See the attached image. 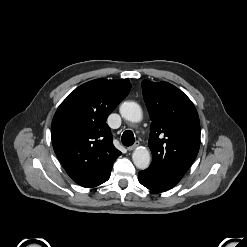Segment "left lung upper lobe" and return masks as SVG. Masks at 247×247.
Wrapping results in <instances>:
<instances>
[{
	"label": "left lung upper lobe",
	"mask_w": 247,
	"mask_h": 247,
	"mask_svg": "<svg viewBox=\"0 0 247 247\" xmlns=\"http://www.w3.org/2000/svg\"><path fill=\"white\" fill-rule=\"evenodd\" d=\"M151 123L149 148L153 160L147 170L177 184L196 158L200 123L191 100L167 82H142Z\"/></svg>",
	"instance_id": "1"
}]
</instances>
